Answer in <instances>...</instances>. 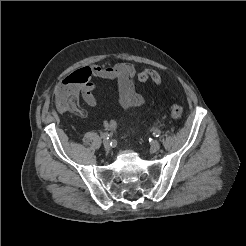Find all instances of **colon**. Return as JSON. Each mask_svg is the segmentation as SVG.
Returning <instances> with one entry per match:
<instances>
[{
  "label": "colon",
  "instance_id": "colon-1",
  "mask_svg": "<svg viewBox=\"0 0 246 246\" xmlns=\"http://www.w3.org/2000/svg\"><path fill=\"white\" fill-rule=\"evenodd\" d=\"M137 79L141 83H145L151 81L157 85H160L162 82V78L160 74L150 68H143L137 74ZM183 114V107L179 104H172L170 107V115L173 119H179Z\"/></svg>",
  "mask_w": 246,
  "mask_h": 246
}]
</instances>
